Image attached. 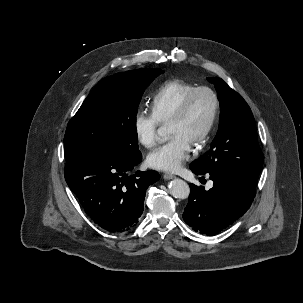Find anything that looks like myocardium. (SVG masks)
<instances>
[{
    "mask_svg": "<svg viewBox=\"0 0 303 303\" xmlns=\"http://www.w3.org/2000/svg\"><path fill=\"white\" fill-rule=\"evenodd\" d=\"M200 92H207L211 95V97L213 99V111H212L210 120H209L205 130L203 131L201 136L197 139V141L194 143L195 147H201L202 145L205 144V142L208 140L209 136L211 135V133L215 127V124L217 122L218 116H219L220 100H219L217 93L212 88H210L208 86H198V87L194 88L193 90H191L184 97V99L180 103L179 107L177 108L175 113L171 116V118L168 121V123H171V122H176V121L182 120L185 117V115L187 114V111L190 107V104H191L193 98Z\"/></svg>",
    "mask_w": 303,
    "mask_h": 303,
    "instance_id": "1",
    "label": "myocardium"
}]
</instances>
